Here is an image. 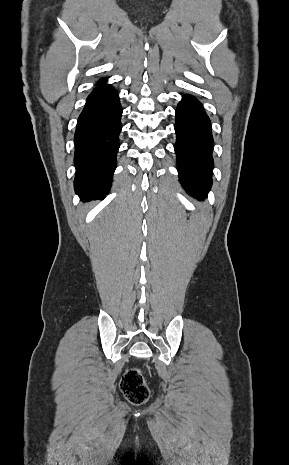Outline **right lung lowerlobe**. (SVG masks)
<instances>
[{"instance_id":"1","label":"right lung lower lobe","mask_w":289,"mask_h":465,"mask_svg":"<svg viewBox=\"0 0 289 465\" xmlns=\"http://www.w3.org/2000/svg\"><path fill=\"white\" fill-rule=\"evenodd\" d=\"M105 82L88 96L74 136V188L81 200L104 197L116 168L122 108L117 92Z\"/></svg>"}]
</instances>
